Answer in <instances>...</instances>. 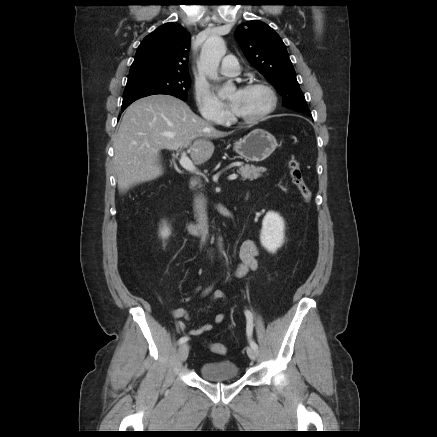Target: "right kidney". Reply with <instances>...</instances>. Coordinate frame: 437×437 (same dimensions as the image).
<instances>
[{
  "label": "right kidney",
  "mask_w": 437,
  "mask_h": 437,
  "mask_svg": "<svg viewBox=\"0 0 437 437\" xmlns=\"http://www.w3.org/2000/svg\"><path fill=\"white\" fill-rule=\"evenodd\" d=\"M161 236L162 238H166L170 235V229L167 226H164L161 230Z\"/></svg>",
  "instance_id": "ca27d5eb"
}]
</instances>
